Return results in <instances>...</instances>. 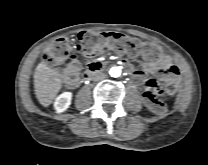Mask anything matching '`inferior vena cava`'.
Wrapping results in <instances>:
<instances>
[{"mask_svg": "<svg viewBox=\"0 0 208 165\" xmlns=\"http://www.w3.org/2000/svg\"><path fill=\"white\" fill-rule=\"evenodd\" d=\"M106 77V75L102 72H95L91 75V79L94 81L103 80Z\"/></svg>", "mask_w": 208, "mask_h": 165, "instance_id": "1", "label": "inferior vena cava"}]
</instances>
